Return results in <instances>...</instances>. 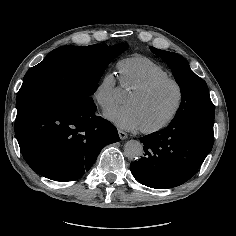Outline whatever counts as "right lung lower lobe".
<instances>
[{"label": "right lung lower lobe", "mask_w": 236, "mask_h": 236, "mask_svg": "<svg viewBox=\"0 0 236 236\" xmlns=\"http://www.w3.org/2000/svg\"><path fill=\"white\" fill-rule=\"evenodd\" d=\"M95 111L94 103L63 100L17 114L15 134L28 165L51 180L80 179L103 147L120 140L116 127Z\"/></svg>", "instance_id": "obj_1"}]
</instances>
